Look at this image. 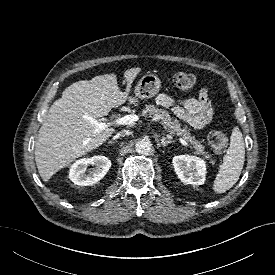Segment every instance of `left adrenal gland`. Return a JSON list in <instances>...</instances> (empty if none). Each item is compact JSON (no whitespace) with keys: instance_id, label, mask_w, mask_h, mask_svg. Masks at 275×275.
I'll return each mask as SVG.
<instances>
[{"instance_id":"1","label":"left adrenal gland","mask_w":275,"mask_h":275,"mask_svg":"<svg viewBox=\"0 0 275 275\" xmlns=\"http://www.w3.org/2000/svg\"><path fill=\"white\" fill-rule=\"evenodd\" d=\"M173 142L174 141H172V140H167L164 136L161 139V144L163 147H166V146H168V144L173 143Z\"/></svg>"}]
</instances>
